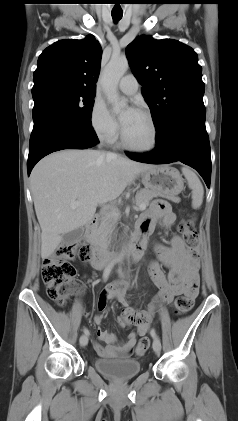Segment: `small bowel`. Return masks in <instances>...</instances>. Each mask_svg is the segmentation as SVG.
Wrapping results in <instances>:
<instances>
[{"mask_svg":"<svg viewBox=\"0 0 238 421\" xmlns=\"http://www.w3.org/2000/svg\"><path fill=\"white\" fill-rule=\"evenodd\" d=\"M176 220L169 204L163 200H156L148 212L141 215L137 222V233L143 237L151 234L158 225L165 228L171 227ZM156 258L149 263V274L153 282L159 288L156 298L146 310H135L129 306V285L124 282H114L106 286L98 299L97 309L100 314L94 318L95 323L100 325L102 315L110 300H117L123 307V312L118 319L120 326L134 325L136 332L131 333L120 345H116V337L113 333L98 329V339L105 346L94 342V349L100 357H127L132 353L137 335L143 336L150 329L155 308L159 303H172L177 296H184L191 300L195 299L199 285V262L193 259L183 241L174 235L170 246L157 243L155 245ZM162 266L168 268L166 274ZM131 314L133 316L131 317Z\"/></svg>","mask_w":238,"mask_h":421,"instance_id":"obj_1","label":"small bowel"}]
</instances>
